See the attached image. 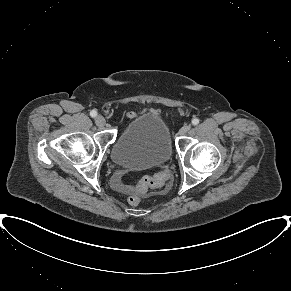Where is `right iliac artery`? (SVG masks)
Returning a JSON list of instances; mask_svg holds the SVG:
<instances>
[{
    "mask_svg": "<svg viewBox=\"0 0 291 291\" xmlns=\"http://www.w3.org/2000/svg\"><path fill=\"white\" fill-rule=\"evenodd\" d=\"M90 116L93 117V118H95L97 116V112L95 110H92L90 112Z\"/></svg>",
    "mask_w": 291,
    "mask_h": 291,
    "instance_id": "obj_1",
    "label": "right iliac artery"
}]
</instances>
